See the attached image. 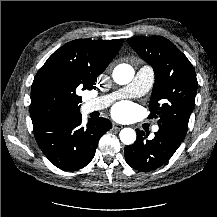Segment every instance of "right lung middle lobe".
I'll return each instance as SVG.
<instances>
[{
    "mask_svg": "<svg viewBox=\"0 0 217 217\" xmlns=\"http://www.w3.org/2000/svg\"><path fill=\"white\" fill-rule=\"evenodd\" d=\"M78 87L57 74H47L34 80L30 105L33 126L79 114L81 97L76 94Z\"/></svg>",
    "mask_w": 217,
    "mask_h": 217,
    "instance_id": "obj_1",
    "label": "right lung middle lobe"
}]
</instances>
